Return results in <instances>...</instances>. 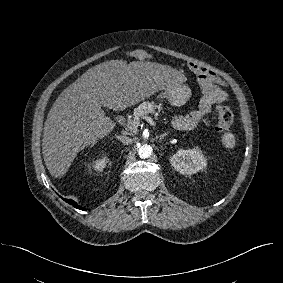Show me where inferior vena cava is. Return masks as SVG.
<instances>
[{"mask_svg":"<svg viewBox=\"0 0 283 283\" xmlns=\"http://www.w3.org/2000/svg\"><path fill=\"white\" fill-rule=\"evenodd\" d=\"M117 138L124 144L129 145L132 142V139L127 136H117Z\"/></svg>","mask_w":283,"mask_h":283,"instance_id":"602c4592","label":"inferior vena cava"}]
</instances>
